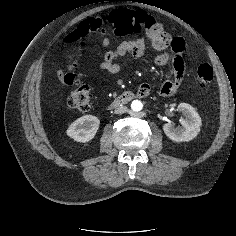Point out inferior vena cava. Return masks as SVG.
Listing matches in <instances>:
<instances>
[{
  "label": "inferior vena cava",
  "mask_w": 236,
  "mask_h": 236,
  "mask_svg": "<svg viewBox=\"0 0 236 236\" xmlns=\"http://www.w3.org/2000/svg\"><path fill=\"white\" fill-rule=\"evenodd\" d=\"M128 111L126 106H120L117 107L114 111L115 114H122V113H126Z\"/></svg>",
  "instance_id": "1"
}]
</instances>
